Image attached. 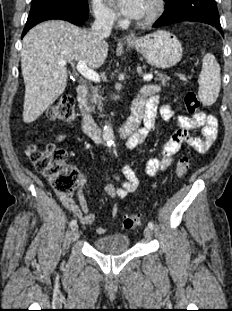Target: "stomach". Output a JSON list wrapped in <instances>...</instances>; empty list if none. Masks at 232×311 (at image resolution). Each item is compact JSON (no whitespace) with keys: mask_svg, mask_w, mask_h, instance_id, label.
Masks as SVG:
<instances>
[{"mask_svg":"<svg viewBox=\"0 0 232 311\" xmlns=\"http://www.w3.org/2000/svg\"><path fill=\"white\" fill-rule=\"evenodd\" d=\"M126 44L142 54L149 64L162 69L176 65L183 54L178 38L165 30L153 32Z\"/></svg>","mask_w":232,"mask_h":311,"instance_id":"obj_1","label":"stomach"}]
</instances>
